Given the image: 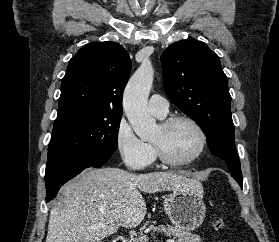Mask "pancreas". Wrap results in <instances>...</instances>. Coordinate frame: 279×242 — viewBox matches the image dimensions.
<instances>
[{"label": "pancreas", "instance_id": "cf45deb5", "mask_svg": "<svg viewBox=\"0 0 279 242\" xmlns=\"http://www.w3.org/2000/svg\"><path fill=\"white\" fill-rule=\"evenodd\" d=\"M153 231L163 232L164 235L168 237L173 236V238L176 239V242H201V237L199 235L192 234L188 231L170 226L168 224L154 227ZM130 242H145V240L142 238H134Z\"/></svg>", "mask_w": 279, "mask_h": 242}]
</instances>
